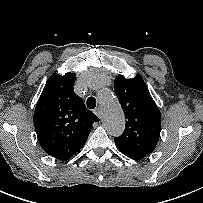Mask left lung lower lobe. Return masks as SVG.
Returning <instances> with one entry per match:
<instances>
[{
	"label": "left lung lower lobe",
	"mask_w": 203,
	"mask_h": 203,
	"mask_svg": "<svg viewBox=\"0 0 203 203\" xmlns=\"http://www.w3.org/2000/svg\"><path fill=\"white\" fill-rule=\"evenodd\" d=\"M123 154H125L126 156H128V157H131V158H133V159H135V160H139V159H141V158H143V157H141V156H139V155H136V154H134V153H132V152H129V151H127V150H124V149H122V148H119V147H117Z\"/></svg>",
	"instance_id": "obj_1"
}]
</instances>
